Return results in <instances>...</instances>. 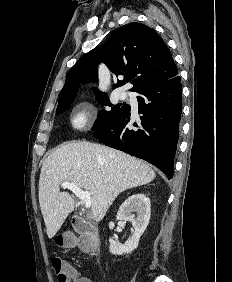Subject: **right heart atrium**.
Returning <instances> with one entry per match:
<instances>
[{"mask_svg": "<svg viewBox=\"0 0 232 282\" xmlns=\"http://www.w3.org/2000/svg\"><path fill=\"white\" fill-rule=\"evenodd\" d=\"M93 117V108L87 103L79 104L74 110L70 124L73 129L82 131L88 127Z\"/></svg>", "mask_w": 232, "mask_h": 282, "instance_id": "right-heart-atrium-1", "label": "right heart atrium"}]
</instances>
